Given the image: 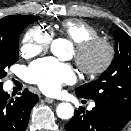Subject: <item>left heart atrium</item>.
I'll list each match as a JSON object with an SVG mask.
<instances>
[{"label": "left heart atrium", "mask_w": 131, "mask_h": 131, "mask_svg": "<svg viewBox=\"0 0 131 131\" xmlns=\"http://www.w3.org/2000/svg\"><path fill=\"white\" fill-rule=\"evenodd\" d=\"M27 78L43 92L54 94L62 84L72 83L76 76L71 66L47 58L32 63L28 68Z\"/></svg>", "instance_id": "39dd6f15"}]
</instances>
